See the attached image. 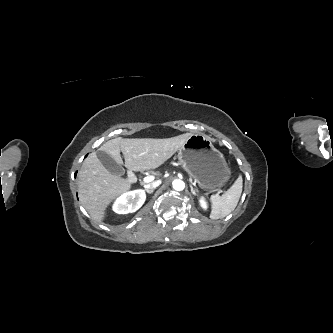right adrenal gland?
Returning a JSON list of instances; mask_svg holds the SVG:
<instances>
[{
    "instance_id": "2a0ac1e0",
    "label": "right adrenal gland",
    "mask_w": 333,
    "mask_h": 333,
    "mask_svg": "<svg viewBox=\"0 0 333 333\" xmlns=\"http://www.w3.org/2000/svg\"><path fill=\"white\" fill-rule=\"evenodd\" d=\"M146 192L149 193V194H152L154 192L153 189H146Z\"/></svg>"
}]
</instances>
